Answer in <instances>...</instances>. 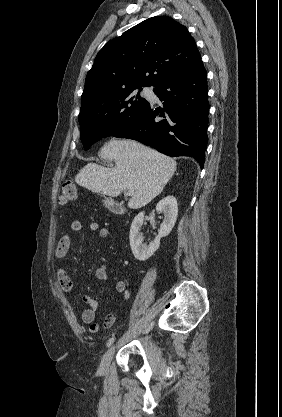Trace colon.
Masks as SVG:
<instances>
[{
  "mask_svg": "<svg viewBox=\"0 0 282 417\" xmlns=\"http://www.w3.org/2000/svg\"><path fill=\"white\" fill-rule=\"evenodd\" d=\"M78 192V187L76 183L73 182H65L62 184L59 193H58V200L61 203H70L75 200L76 195Z\"/></svg>",
  "mask_w": 282,
  "mask_h": 417,
  "instance_id": "5ec220e1",
  "label": "colon"
}]
</instances>
